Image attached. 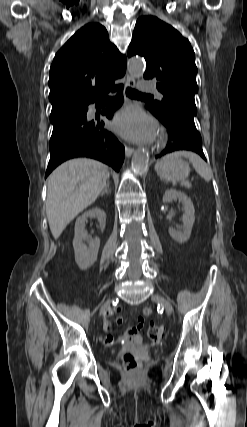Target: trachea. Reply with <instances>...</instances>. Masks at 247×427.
I'll list each match as a JSON object with an SVG mask.
<instances>
[{
  "instance_id": "obj_1",
  "label": "trachea",
  "mask_w": 247,
  "mask_h": 427,
  "mask_svg": "<svg viewBox=\"0 0 247 427\" xmlns=\"http://www.w3.org/2000/svg\"><path fill=\"white\" fill-rule=\"evenodd\" d=\"M126 95H128L129 97H147V96H151V95H147V94H143L140 93L132 88H127L126 89Z\"/></svg>"
}]
</instances>
